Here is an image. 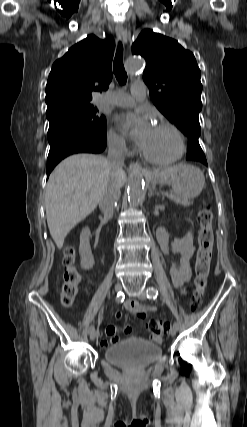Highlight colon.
I'll return each mask as SVG.
<instances>
[{"label":"colon","instance_id":"1","mask_svg":"<svg viewBox=\"0 0 247 427\" xmlns=\"http://www.w3.org/2000/svg\"><path fill=\"white\" fill-rule=\"evenodd\" d=\"M199 223L198 250L194 269V288L191 297V308L196 310L203 299L210 265L213 255L214 232L212 227L213 213L208 206H203L197 213ZM64 276L61 287V302L69 307L79 292L81 274L76 267V251L74 247L68 246L63 257ZM148 328L152 335L161 338L166 333L167 324L158 320H151Z\"/></svg>","mask_w":247,"mask_h":427}]
</instances>
